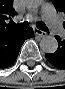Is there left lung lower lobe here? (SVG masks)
<instances>
[{"label":"left lung lower lobe","mask_w":65,"mask_h":89,"mask_svg":"<svg viewBox=\"0 0 65 89\" xmlns=\"http://www.w3.org/2000/svg\"><path fill=\"white\" fill-rule=\"evenodd\" d=\"M58 41V49L55 53L45 54L46 59L55 67L65 69V38L55 36Z\"/></svg>","instance_id":"obj_1"}]
</instances>
